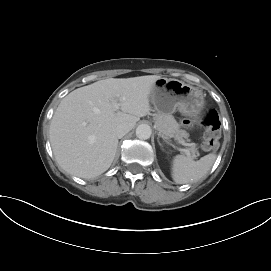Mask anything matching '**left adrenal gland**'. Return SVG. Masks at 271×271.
Listing matches in <instances>:
<instances>
[{"label":"left adrenal gland","mask_w":271,"mask_h":271,"mask_svg":"<svg viewBox=\"0 0 271 271\" xmlns=\"http://www.w3.org/2000/svg\"><path fill=\"white\" fill-rule=\"evenodd\" d=\"M157 141H158V144H159L160 146H162V144L160 143V140H159V136H158V138H157Z\"/></svg>","instance_id":"obj_1"}]
</instances>
